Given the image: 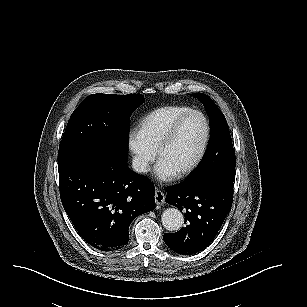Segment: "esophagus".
I'll return each mask as SVG.
<instances>
[{
    "label": "esophagus",
    "instance_id": "1",
    "mask_svg": "<svg viewBox=\"0 0 307 307\" xmlns=\"http://www.w3.org/2000/svg\"><path fill=\"white\" fill-rule=\"evenodd\" d=\"M165 202V194L159 190V189H156L155 190V203L157 205H162L164 204Z\"/></svg>",
    "mask_w": 307,
    "mask_h": 307
}]
</instances>
